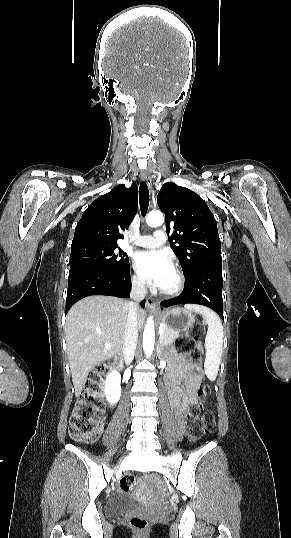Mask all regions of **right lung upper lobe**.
I'll use <instances>...</instances> for the list:
<instances>
[{"instance_id":"right-lung-upper-lobe-1","label":"right lung upper lobe","mask_w":291,"mask_h":538,"mask_svg":"<svg viewBox=\"0 0 291 538\" xmlns=\"http://www.w3.org/2000/svg\"><path fill=\"white\" fill-rule=\"evenodd\" d=\"M137 192L136 184L130 188L120 184L93 201L75 228L71 249L90 245L118 246L117 240L123 239L120 232L128 229L136 214Z\"/></svg>"}]
</instances>
